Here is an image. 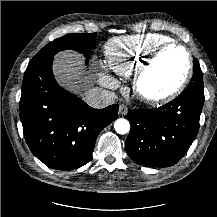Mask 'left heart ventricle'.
<instances>
[{"label": "left heart ventricle", "instance_id": "obj_1", "mask_svg": "<svg viewBox=\"0 0 217 217\" xmlns=\"http://www.w3.org/2000/svg\"><path fill=\"white\" fill-rule=\"evenodd\" d=\"M187 66V56L183 50H166L145 76L142 90L148 95H160L171 91L185 75Z\"/></svg>", "mask_w": 217, "mask_h": 217}]
</instances>
